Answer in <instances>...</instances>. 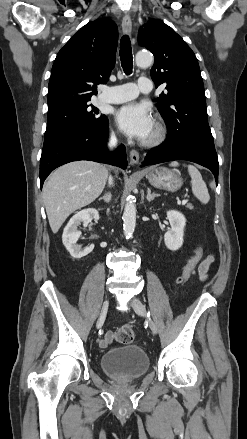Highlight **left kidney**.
I'll list each match as a JSON object with an SVG mask.
<instances>
[{"instance_id":"left-kidney-1","label":"left kidney","mask_w":247,"mask_h":439,"mask_svg":"<svg viewBox=\"0 0 247 439\" xmlns=\"http://www.w3.org/2000/svg\"><path fill=\"white\" fill-rule=\"evenodd\" d=\"M167 219L171 229L165 233L164 242L169 250L176 251L183 245L186 219L182 213L175 210L167 212Z\"/></svg>"}]
</instances>
